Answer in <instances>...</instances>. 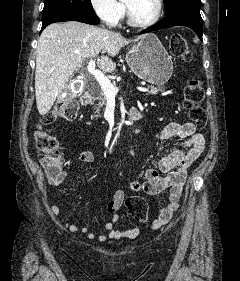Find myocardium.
Listing matches in <instances>:
<instances>
[{
  "mask_svg": "<svg viewBox=\"0 0 240 281\" xmlns=\"http://www.w3.org/2000/svg\"><path fill=\"white\" fill-rule=\"evenodd\" d=\"M156 10H155V13L153 15V17L148 20V21H145V22H138L136 20L133 19L132 15H131V12H130V9L129 7L127 6V4L124 2L125 4V10H126V18H127V23L132 26V27H135V28H147V27H150L152 25H154L155 23L158 22V20L160 19L161 17V14H162V10H163V0H156Z\"/></svg>",
  "mask_w": 240,
  "mask_h": 281,
  "instance_id": "myocardium-1",
  "label": "myocardium"
}]
</instances>
